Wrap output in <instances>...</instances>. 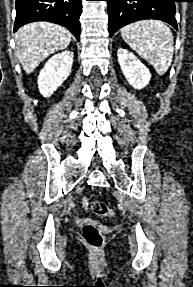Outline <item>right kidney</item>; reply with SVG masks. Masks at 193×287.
<instances>
[{
    "mask_svg": "<svg viewBox=\"0 0 193 287\" xmlns=\"http://www.w3.org/2000/svg\"><path fill=\"white\" fill-rule=\"evenodd\" d=\"M74 54L64 51L51 57L38 77V88L44 97L51 96L68 78L73 64Z\"/></svg>",
    "mask_w": 193,
    "mask_h": 287,
    "instance_id": "obj_1",
    "label": "right kidney"
}]
</instances>
